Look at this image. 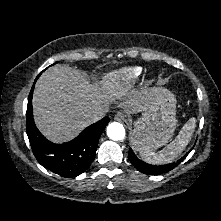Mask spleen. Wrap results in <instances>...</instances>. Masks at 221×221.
Returning <instances> with one entry per match:
<instances>
[{
  "label": "spleen",
  "instance_id": "spleen-1",
  "mask_svg": "<svg viewBox=\"0 0 221 221\" xmlns=\"http://www.w3.org/2000/svg\"><path fill=\"white\" fill-rule=\"evenodd\" d=\"M196 127V119L190 118L180 130L178 136L161 151H140V157L150 164H165L175 160L186 148Z\"/></svg>",
  "mask_w": 221,
  "mask_h": 221
}]
</instances>
